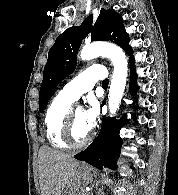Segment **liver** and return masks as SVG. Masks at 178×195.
<instances>
[{"label": "liver", "mask_w": 178, "mask_h": 195, "mask_svg": "<svg viewBox=\"0 0 178 195\" xmlns=\"http://www.w3.org/2000/svg\"><path fill=\"white\" fill-rule=\"evenodd\" d=\"M79 167L80 162L71 155L42 146L38 166L41 195H62Z\"/></svg>", "instance_id": "6515ba94"}]
</instances>
